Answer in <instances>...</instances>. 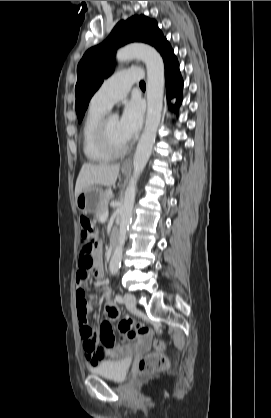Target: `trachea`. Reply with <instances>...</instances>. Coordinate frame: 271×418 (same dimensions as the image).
Masks as SVG:
<instances>
[{
	"mask_svg": "<svg viewBox=\"0 0 271 418\" xmlns=\"http://www.w3.org/2000/svg\"><path fill=\"white\" fill-rule=\"evenodd\" d=\"M140 87H141V88H145V87H146V84H145V82H144V81H141V82H140Z\"/></svg>",
	"mask_w": 271,
	"mask_h": 418,
	"instance_id": "obj_1",
	"label": "trachea"
}]
</instances>
